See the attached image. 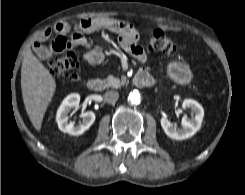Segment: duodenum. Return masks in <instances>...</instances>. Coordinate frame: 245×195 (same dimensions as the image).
Returning a JSON list of instances; mask_svg holds the SVG:
<instances>
[{
	"mask_svg": "<svg viewBox=\"0 0 245 195\" xmlns=\"http://www.w3.org/2000/svg\"><path fill=\"white\" fill-rule=\"evenodd\" d=\"M133 84L139 88H149L154 85V79L146 71H139L133 78ZM87 87L93 92H100L105 88V82L98 78L87 81Z\"/></svg>",
	"mask_w": 245,
	"mask_h": 195,
	"instance_id": "410a0bca",
	"label": "duodenum"
}]
</instances>
